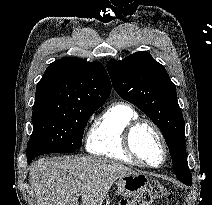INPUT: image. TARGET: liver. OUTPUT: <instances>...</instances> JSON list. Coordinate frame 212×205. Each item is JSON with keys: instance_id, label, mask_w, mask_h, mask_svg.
I'll return each instance as SVG.
<instances>
[{"instance_id": "obj_1", "label": "liver", "mask_w": 212, "mask_h": 205, "mask_svg": "<svg viewBox=\"0 0 212 205\" xmlns=\"http://www.w3.org/2000/svg\"><path fill=\"white\" fill-rule=\"evenodd\" d=\"M134 173L126 166L93 156L41 158L29 178L37 205H102L112 184Z\"/></svg>"}]
</instances>
